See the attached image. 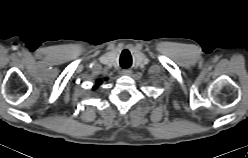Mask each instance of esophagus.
<instances>
[{"mask_svg":"<svg viewBox=\"0 0 248 158\" xmlns=\"http://www.w3.org/2000/svg\"><path fill=\"white\" fill-rule=\"evenodd\" d=\"M131 70H129V69H124V70H122V75H131Z\"/></svg>","mask_w":248,"mask_h":158,"instance_id":"esophagus-1","label":"esophagus"}]
</instances>
